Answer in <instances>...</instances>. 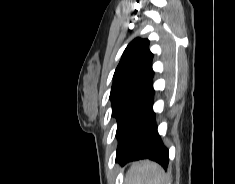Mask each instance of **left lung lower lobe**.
Instances as JSON below:
<instances>
[{
	"mask_svg": "<svg viewBox=\"0 0 235 184\" xmlns=\"http://www.w3.org/2000/svg\"><path fill=\"white\" fill-rule=\"evenodd\" d=\"M152 106L153 97L139 116L126 145L116 155V162L120 165L134 160L150 159L159 163L165 170L167 169L168 149L158 134Z\"/></svg>",
	"mask_w": 235,
	"mask_h": 184,
	"instance_id": "obj_1",
	"label": "left lung lower lobe"
}]
</instances>
